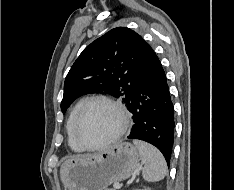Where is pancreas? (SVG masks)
Here are the masks:
<instances>
[{"label": "pancreas", "mask_w": 234, "mask_h": 190, "mask_svg": "<svg viewBox=\"0 0 234 190\" xmlns=\"http://www.w3.org/2000/svg\"><path fill=\"white\" fill-rule=\"evenodd\" d=\"M107 190H114V189L110 188V189H107Z\"/></svg>", "instance_id": "1"}]
</instances>
